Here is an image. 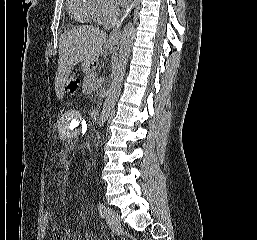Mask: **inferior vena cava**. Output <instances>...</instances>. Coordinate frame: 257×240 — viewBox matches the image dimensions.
<instances>
[{
  "mask_svg": "<svg viewBox=\"0 0 257 240\" xmlns=\"http://www.w3.org/2000/svg\"><path fill=\"white\" fill-rule=\"evenodd\" d=\"M120 9L114 4L109 5L107 9V19L103 25L105 29H111L118 23Z\"/></svg>",
  "mask_w": 257,
  "mask_h": 240,
  "instance_id": "602c4592",
  "label": "inferior vena cava"
}]
</instances>
